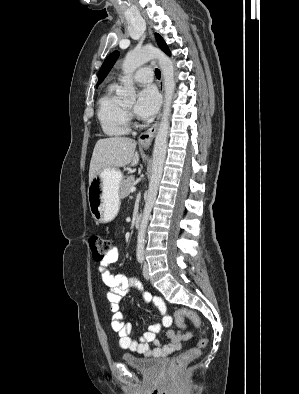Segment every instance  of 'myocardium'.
<instances>
[{
  "label": "myocardium",
  "instance_id": "obj_1",
  "mask_svg": "<svg viewBox=\"0 0 299 394\" xmlns=\"http://www.w3.org/2000/svg\"><path fill=\"white\" fill-rule=\"evenodd\" d=\"M126 111H127V113H129V110H128V109H126Z\"/></svg>",
  "mask_w": 299,
  "mask_h": 394
}]
</instances>
